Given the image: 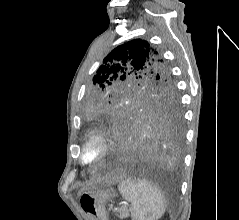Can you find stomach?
<instances>
[{
    "label": "stomach",
    "instance_id": "stomach-1",
    "mask_svg": "<svg viewBox=\"0 0 239 220\" xmlns=\"http://www.w3.org/2000/svg\"><path fill=\"white\" fill-rule=\"evenodd\" d=\"M115 196L113 190L86 191L80 196V207L89 220H105L104 204ZM107 217H116V212H107Z\"/></svg>",
    "mask_w": 239,
    "mask_h": 220
}]
</instances>
